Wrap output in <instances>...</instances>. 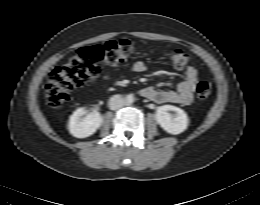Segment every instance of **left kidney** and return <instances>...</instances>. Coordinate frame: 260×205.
<instances>
[{"label": "left kidney", "instance_id": "obj_1", "mask_svg": "<svg viewBox=\"0 0 260 205\" xmlns=\"http://www.w3.org/2000/svg\"><path fill=\"white\" fill-rule=\"evenodd\" d=\"M167 111H174L172 117ZM155 118L157 123L168 133L177 135L184 132L189 124L187 114L180 108L172 105H163L157 108Z\"/></svg>", "mask_w": 260, "mask_h": 205}]
</instances>
